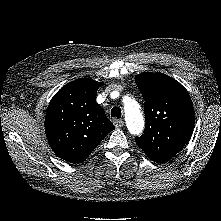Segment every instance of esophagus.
Masks as SVG:
<instances>
[{
    "label": "esophagus",
    "mask_w": 221,
    "mask_h": 221,
    "mask_svg": "<svg viewBox=\"0 0 221 221\" xmlns=\"http://www.w3.org/2000/svg\"><path fill=\"white\" fill-rule=\"evenodd\" d=\"M114 125L116 126V128H121L124 126V121L120 119L114 120Z\"/></svg>",
    "instance_id": "34e87169"
}]
</instances>
